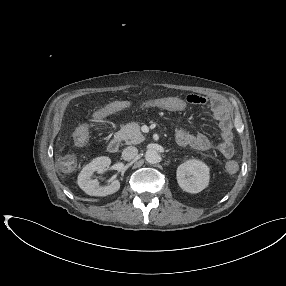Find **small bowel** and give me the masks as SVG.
<instances>
[{"label":"small bowel","instance_id":"obj_1","mask_svg":"<svg viewBox=\"0 0 286 286\" xmlns=\"http://www.w3.org/2000/svg\"><path fill=\"white\" fill-rule=\"evenodd\" d=\"M189 104L209 106L214 117L219 121L221 128V141L213 143L202 133H191L180 128L176 131V141L179 145H190L197 150H210L216 148L225 158L234 155L232 122L225 103L220 99L205 98L203 96L190 95L186 100L176 97H165L148 100L142 104L143 107L160 108L172 112H181L187 109Z\"/></svg>","mask_w":286,"mask_h":286}]
</instances>
